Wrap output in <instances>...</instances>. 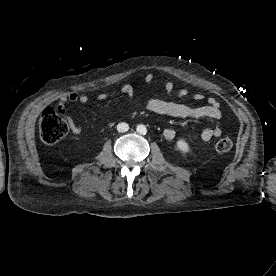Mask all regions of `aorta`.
I'll return each instance as SVG.
<instances>
[{
    "label": "aorta",
    "mask_w": 276,
    "mask_h": 276,
    "mask_svg": "<svg viewBox=\"0 0 276 276\" xmlns=\"http://www.w3.org/2000/svg\"><path fill=\"white\" fill-rule=\"evenodd\" d=\"M136 131L139 134L145 135L147 133V128H146L145 125L140 124V125L137 126Z\"/></svg>",
    "instance_id": "aorta-1"
}]
</instances>
